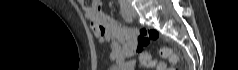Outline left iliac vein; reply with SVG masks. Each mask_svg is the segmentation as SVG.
<instances>
[{"mask_svg": "<svg viewBox=\"0 0 238 70\" xmlns=\"http://www.w3.org/2000/svg\"><path fill=\"white\" fill-rule=\"evenodd\" d=\"M127 10L129 11L131 16H133V17L136 16V11H135V9L132 6L128 5L127 6Z\"/></svg>", "mask_w": 238, "mask_h": 70, "instance_id": "4c4485c4", "label": "left iliac vein"}]
</instances>
